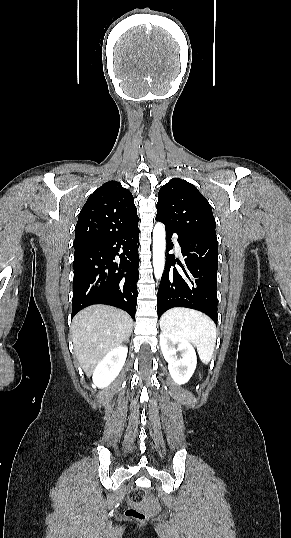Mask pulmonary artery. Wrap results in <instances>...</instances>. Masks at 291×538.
Segmentation results:
<instances>
[{"mask_svg": "<svg viewBox=\"0 0 291 538\" xmlns=\"http://www.w3.org/2000/svg\"><path fill=\"white\" fill-rule=\"evenodd\" d=\"M178 237L176 235L173 236V240H174V243H175V246H176V249L179 250L180 249V246L178 244V241H177Z\"/></svg>", "mask_w": 291, "mask_h": 538, "instance_id": "obj_1", "label": "pulmonary artery"}]
</instances>
